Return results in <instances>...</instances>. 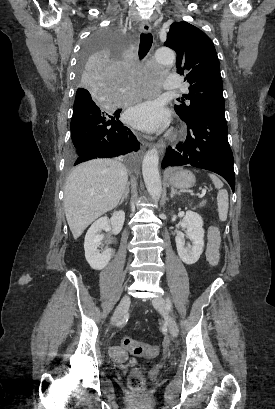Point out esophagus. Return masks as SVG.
Wrapping results in <instances>:
<instances>
[{"instance_id": "1", "label": "esophagus", "mask_w": 275, "mask_h": 409, "mask_svg": "<svg viewBox=\"0 0 275 409\" xmlns=\"http://www.w3.org/2000/svg\"><path fill=\"white\" fill-rule=\"evenodd\" d=\"M139 30H140V32L147 34V33L151 32V26L147 21H143L139 25ZM150 145L151 144H146V146H150ZM155 146H156V148L159 150V152L161 154H163L165 152L166 144L162 140L157 141Z\"/></svg>"}]
</instances>
